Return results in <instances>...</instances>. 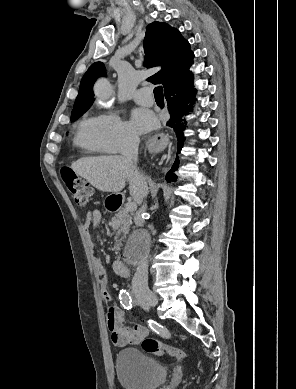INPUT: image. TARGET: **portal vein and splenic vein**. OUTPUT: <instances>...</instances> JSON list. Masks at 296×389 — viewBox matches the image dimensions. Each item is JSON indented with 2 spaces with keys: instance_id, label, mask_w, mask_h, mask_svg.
I'll use <instances>...</instances> for the list:
<instances>
[{
  "instance_id": "portal-vein-and-splenic-vein-1",
  "label": "portal vein and splenic vein",
  "mask_w": 296,
  "mask_h": 389,
  "mask_svg": "<svg viewBox=\"0 0 296 389\" xmlns=\"http://www.w3.org/2000/svg\"><path fill=\"white\" fill-rule=\"evenodd\" d=\"M136 208H137V205H136L135 202H128V203L126 204V207H125V209H126L127 211H134V210H136Z\"/></svg>"
}]
</instances>
